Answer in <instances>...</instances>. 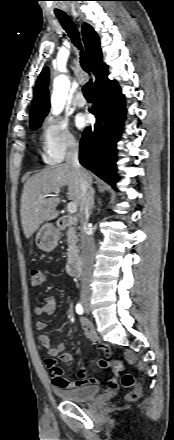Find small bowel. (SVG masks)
<instances>
[{
  "mask_svg": "<svg viewBox=\"0 0 174 440\" xmlns=\"http://www.w3.org/2000/svg\"><path fill=\"white\" fill-rule=\"evenodd\" d=\"M55 310H56V301L54 297L47 296L44 299V302L35 308V313L38 316H51L53 315ZM35 326H36V330L39 332H43L46 329V323L41 320L37 321ZM81 326L84 330L86 337L93 344L97 345L108 356L112 355V351L108 347L99 344L92 323L89 320L82 318ZM39 343L42 346L45 353L50 357L49 359L46 360V365L50 371L52 382L55 386L61 388H77L80 386H86L88 384H96L99 382L98 378L85 375L84 370L82 368L79 369L77 373L78 378L74 381H69L65 377L64 370L58 365L57 361L54 359L59 357L60 361L63 363H72L74 361L73 356L65 352L66 349L65 344L59 343L56 347H52L48 336L44 334H41L39 336ZM109 380H113L117 382L115 377H112ZM109 380L107 384L109 387H111L109 385ZM111 388H115V387H111Z\"/></svg>",
  "mask_w": 174,
  "mask_h": 440,
  "instance_id": "small-bowel-1",
  "label": "small bowel"
}]
</instances>
